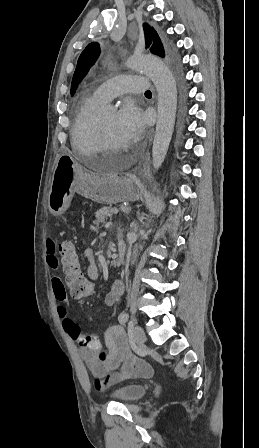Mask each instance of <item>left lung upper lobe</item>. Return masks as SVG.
<instances>
[{
	"mask_svg": "<svg viewBox=\"0 0 259 448\" xmlns=\"http://www.w3.org/2000/svg\"><path fill=\"white\" fill-rule=\"evenodd\" d=\"M143 28L146 39V47L149 48V51L160 57H164L167 53V56L171 59L172 55L168 50L165 53L161 39L155 29L150 27L147 23L143 24ZM99 54L100 46L96 42L90 43L81 53L72 79V95L74 94L77 85L82 81L89 69L94 65L95 61L99 57Z\"/></svg>",
	"mask_w": 259,
	"mask_h": 448,
	"instance_id": "5c2ea615",
	"label": "left lung upper lobe"
}]
</instances>
